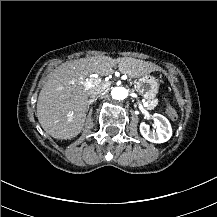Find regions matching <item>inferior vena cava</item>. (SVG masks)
<instances>
[{"label":"inferior vena cava","mask_w":217,"mask_h":217,"mask_svg":"<svg viewBox=\"0 0 217 217\" xmlns=\"http://www.w3.org/2000/svg\"><path fill=\"white\" fill-rule=\"evenodd\" d=\"M105 89H106V86H104L103 84H99L97 86L92 87L89 90V94L92 98H94L95 96H97L99 93H101Z\"/></svg>","instance_id":"1"}]
</instances>
